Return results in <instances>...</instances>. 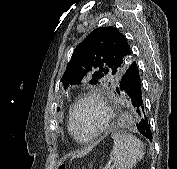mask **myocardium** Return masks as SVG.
Segmentation results:
<instances>
[{"mask_svg":"<svg viewBox=\"0 0 177 169\" xmlns=\"http://www.w3.org/2000/svg\"><path fill=\"white\" fill-rule=\"evenodd\" d=\"M87 100H93L98 104V106L100 107V109L103 113V118H102L101 125L99 126V128L96 131H94L90 135L83 136V135H80L77 130L75 118H76V113H77L79 106ZM69 119H70V125H71L74 135L81 141L89 142V141L97 138L104 131H106V129L109 126L110 120H111V110H110L108 104L106 103V101L104 100L103 96L100 93H98L97 91H87V92L79 95L78 98L76 99V101L74 102V104L70 110Z\"/></svg>","mask_w":177,"mask_h":169,"instance_id":"f54148a6","label":"myocardium"}]
</instances>
